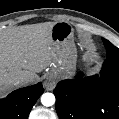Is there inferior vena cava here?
<instances>
[{"mask_svg":"<svg viewBox=\"0 0 119 119\" xmlns=\"http://www.w3.org/2000/svg\"><path fill=\"white\" fill-rule=\"evenodd\" d=\"M30 81V77L29 76H20L16 79L15 81V85H23V84H27Z\"/></svg>","mask_w":119,"mask_h":119,"instance_id":"inferior-vena-cava-1","label":"inferior vena cava"}]
</instances>
